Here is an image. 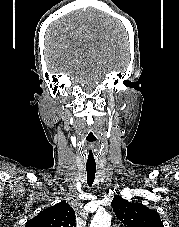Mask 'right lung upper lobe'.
<instances>
[{
	"label": "right lung upper lobe",
	"instance_id": "cb5924a9",
	"mask_svg": "<svg viewBox=\"0 0 179 227\" xmlns=\"http://www.w3.org/2000/svg\"><path fill=\"white\" fill-rule=\"evenodd\" d=\"M25 227H76L75 212L65 200L41 211Z\"/></svg>",
	"mask_w": 179,
	"mask_h": 227
}]
</instances>
